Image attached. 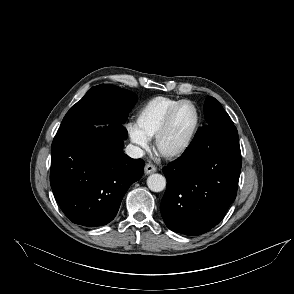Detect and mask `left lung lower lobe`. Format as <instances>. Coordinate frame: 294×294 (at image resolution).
Segmentation results:
<instances>
[{
	"mask_svg": "<svg viewBox=\"0 0 294 294\" xmlns=\"http://www.w3.org/2000/svg\"><path fill=\"white\" fill-rule=\"evenodd\" d=\"M240 171L235 125L199 129L182 156L163 168L167 188L161 215L167 227L187 235L210 231L236 198Z\"/></svg>",
	"mask_w": 294,
	"mask_h": 294,
	"instance_id": "left-lung-lower-lobe-1",
	"label": "left lung lower lobe"
}]
</instances>
